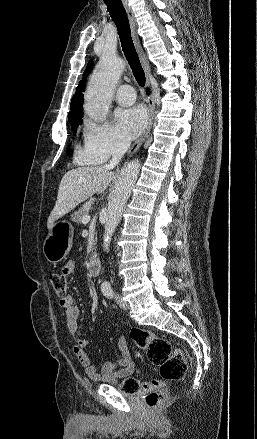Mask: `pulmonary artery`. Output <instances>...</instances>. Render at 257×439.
<instances>
[{
  "label": "pulmonary artery",
  "instance_id": "pulmonary-artery-1",
  "mask_svg": "<svg viewBox=\"0 0 257 439\" xmlns=\"http://www.w3.org/2000/svg\"><path fill=\"white\" fill-rule=\"evenodd\" d=\"M136 99L134 89L130 85H122L118 88L115 94V100L120 105L132 104Z\"/></svg>",
  "mask_w": 257,
  "mask_h": 439
}]
</instances>
